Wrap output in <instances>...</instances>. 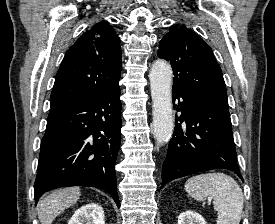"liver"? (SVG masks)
<instances>
[{
	"label": "liver",
	"mask_w": 275,
	"mask_h": 224,
	"mask_svg": "<svg viewBox=\"0 0 275 224\" xmlns=\"http://www.w3.org/2000/svg\"><path fill=\"white\" fill-rule=\"evenodd\" d=\"M80 197V188L58 189L42 197L38 203V218L41 224H51L65 209L71 207Z\"/></svg>",
	"instance_id": "6515ba94"
}]
</instances>
